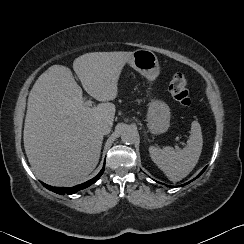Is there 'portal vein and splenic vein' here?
Returning a JSON list of instances; mask_svg holds the SVG:
<instances>
[{
	"label": "portal vein and splenic vein",
	"mask_w": 244,
	"mask_h": 244,
	"mask_svg": "<svg viewBox=\"0 0 244 244\" xmlns=\"http://www.w3.org/2000/svg\"><path fill=\"white\" fill-rule=\"evenodd\" d=\"M92 103H93V102H92L91 100H87V101L85 102V105H86V106H91ZM175 149H176V150H179L180 148H179V146L175 145Z\"/></svg>",
	"instance_id": "portal-vein-and-splenic-vein-1"
}]
</instances>
